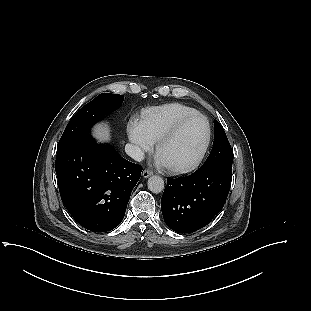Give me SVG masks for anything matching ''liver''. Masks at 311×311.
I'll list each match as a JSON object with an SVG mask.
<instances>
[{"label":"liver","mask_w":311,"mask_h":311,"mask_svg":"<svg viewBox=\"0 0 311 311\" xmlns=\"http://www.w3.org/2000/svg\"><path fill=\"white\" fill-rule=\"evenodd\" d=\"M94 136L100 141L110 139V130L106 125H97L94 129Z\"/></svg>","instance_id":"liver-1"}]
</instances>
